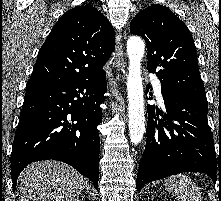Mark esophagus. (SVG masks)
I'll list each match as a JSON object with an SVG mask.
<instances>
[{
	"instance_id": "34e87169",
	"label": "esophagus",
	"mask_w": 221,
	"mask_h": 201,
	"mask_svg": "<svg viewBox=\"0 0 221 201\" xmlns=\"http://www.w3.org/2000/svg\"><path fill=\"white\" fill-rule=\"evenodd\" d=\"M116 63H117V71L122 72L125 69V54L122 48V42L120 38L116 40Z\"/></svg>"
}]
</instances>
